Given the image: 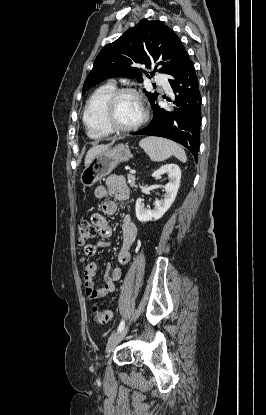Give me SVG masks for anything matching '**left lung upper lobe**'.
Segmentation results:
<instances>
[{"instance_id":"1","label":"left lung upper lobe","mask_w":266,"mask_h":415,"mask_svg":"<svg viewBox=\"0 0 266 415\" xmlns=\"http://www.w3.org/2000/svg\"><path fill=\"white\" fill-rule=\"evenodd\" d=\"M188 56L180 38L171 28L158 20L143 19L100 51L84 82L83 94L113 76L135 77L142 82V69L137 64L153 68L151 75L158 69V72L174 77ZM144 73L149 76L146 71ZM145 93L151 106L157 105L158 94Z\"/></svg>"}]
</instances>
